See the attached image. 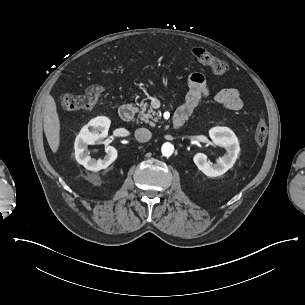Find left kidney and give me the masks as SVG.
I'll use <instances>...</instances> for the list:
<instances>
[{
    "instance_id": "left-kidney-1",
    "label": "left kidney",
    "mask_w": 305,
    "mask_h": 305,
    "mask_svg": "<svg viewBox=\"0 0 305 305\" xmlns=\"http://www.w3.org/2000/svg\"><path fill=\"white\" fill-rule=\"evenodd\" d=\"M209 136L214 144L224 147L227 154L217 160L216 164L207 161V156L197 153L193 160L199 170L209 177H217L227 172L234 165L240 152L239 142L234 132L228 127H213Z\"/></svg>"
}]
</instances>
